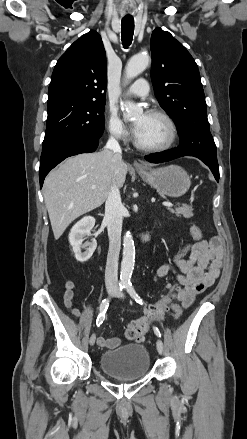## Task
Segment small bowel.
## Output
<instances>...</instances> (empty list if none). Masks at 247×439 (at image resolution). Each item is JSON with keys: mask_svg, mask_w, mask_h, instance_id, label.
<instances>
[{"mask_svg": "<svg viewBox=\"0 0 247 439\" xmlns=\"http://www.w3.org/2000/svg\"><path fill=\"white\" fill-rule=\"evenodd\" d=\"M223 259V244L219 237L210 240L189 243L175 255L173 264H164L156 273L157 278L173 274L182 286L172 295L171 313L178 317L183 309L190 306L194 298L206 288L211 287L218 278ZM74 283L67 281L64 285V302L69 311L76 317L80 312L72 307ZM98 344L105 348H115L120 344L117 337H101Z\"/></svg>", "mask_w": 247, "mask_h": 439, "instance_id": "c3829d8e", "label": "small bowel"}]
</instances>
